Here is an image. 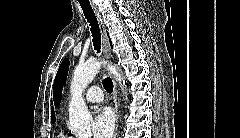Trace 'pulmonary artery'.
Here are the masks:
<instances>
[{
    "instance_id": "e3ab8cb5",
    "label": "pulmonary artery",
    "mask_w": 240,
    "mask_h": 138,
    "mask_svg": "<svg viewBox=\"0 0 240 138\" xmlns=\"http://www.w3.org/2000/svg\"><path fill=\"white\" fill-rule=\"evenodd\" d=\"M85 100L89 103H101L103 101V92L98 86L90 87L86 94Z\"/></svg>"
}]
</instances>
